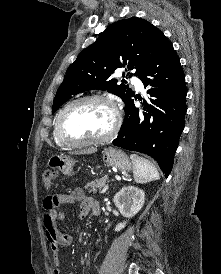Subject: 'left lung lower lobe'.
I'll return each mask as SVG.
<instances>
[{
  "label": "left lung lower lobe",
  "instance_id": "1",
  "mask_svg": "<svg viewBox=\"0 0 221 274\" xmlns=\"http://www.w3.org/2000/svg\"><path fill=\"white\" fill-rule=\"evenodd\" d=\"M139 79L144 87L150 86L149 100L142 103V110L134 106V99L125 104L124 123L112 144L151 156L168 177L187 110L185 75L171 43Z\"/></svg>",
  "mask_w": 221,
  "mask_h": 274
}]
</instances>
